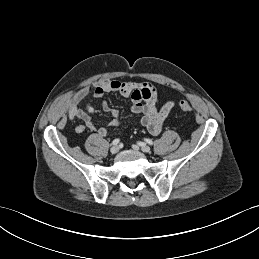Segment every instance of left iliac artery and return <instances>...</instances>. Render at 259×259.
<instances>
[{"mask_svg":"<svg viewBox=\"0 0 259 259\" xmlns=\"http://www.w3.org/2000/svg\"><path fill=\"white\" fill-rule=\"evenodd\" d=\"M145 141L150 144V145H153V141L151 139H145Z\"/></svg>","mask_w":259,"mask_h":259,"instance_id":"44dca946","label":"left iliac artery"}]
</instances>
